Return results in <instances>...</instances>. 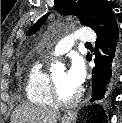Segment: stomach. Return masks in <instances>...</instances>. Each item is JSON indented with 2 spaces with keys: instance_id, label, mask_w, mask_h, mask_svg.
Instances as JSON below:
<instances>
[{
  "instance_id": "1",
  "label": "stomach",
  "mask_w": 122,
  "mask_h": 123,
  "mask_svg": "<svg viewBox=\"0 0 122 123\" xmlns=\"http://www.w3.org/2000/svg\"><path fill=\"white\" fill-rule=\"evenodd\" d=\"M74 119H75V117L72 115L71 116L65 115L61 118L60 123H73Z\"/></svg>"
}]
</instances>
